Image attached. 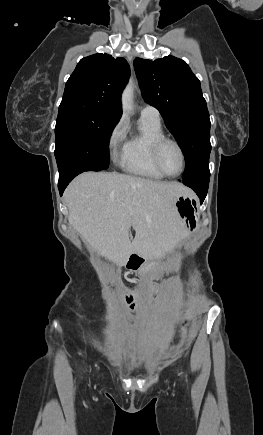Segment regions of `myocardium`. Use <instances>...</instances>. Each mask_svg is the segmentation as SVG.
Here are the masks:
<instances>
[{"label": "myocardium", "instance_id": "myocardium-1", "mask_svg": "<svg viewBox=\"0 0 263 435\" xmlns=\"http://www.w3.org/2000/svg\"><path fill=\"white\" fill-rule=\"evenodd\" d=\"M167 143L174 144V145L178 148V150H179V152H180V154H181L182 167H181V170H180L177 174H169V173H167V172L164 170V168H163V166H162V164H161V161H160L161 150H162L163 146H164L165 144H167ZM152 161H153V164H154V166L156 167V169H157V170H158V171H159L163 176H165V177H171V178H173V177H178V176H180L181 174H183V172L185 171V168H186V154H185V151H184L183 146H182V145L180 144V142L177 141L176 139H174V138H170V137H166V136L159 138V139L154 143L153 148H152Z\"/></svg>", "mask_w": 263, "mask_h": 435}]
</instances>
